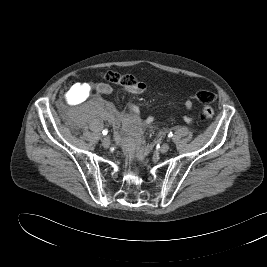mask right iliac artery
<instances>
[{"label": "right iliac artery", "instance_id": "82829eb1", "mask_svg": "<svg viewBox=\"0 0 267 267\" xmlns=\"http://www.w3.org/2000/svg\"><path fill=\"white\" fill-rule=\"evenodd\" d=\"M107 133H108V130H107V129H104V130H103V134H104V135H107Z\"/></svg>", "mask_w": 267, "mask_h": 267}]
</instances>
